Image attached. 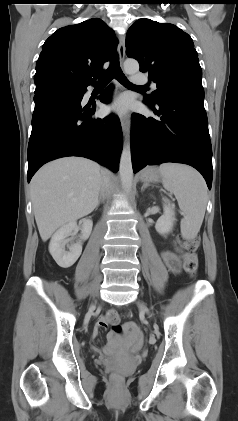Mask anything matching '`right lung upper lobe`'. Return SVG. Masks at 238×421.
Masks as SVG:
<instances>
[{
	"mask_svg": "<svg viewBox=\"0 0 238 421\" xmlns=\"http://www.w3.org/2000/svg\"><path fill=\"white\" fill-rule=\"evenodd\" d=\"M115 33L99 18L58 29L43 44L36 63L35 84L93 83L117 47ZM93 77V78H92Z\"/></svg>",
	"mask_w": 238,
	"mask_h": 421,
	"instance_id": "obj_1",
	"label": "right lung upper lobe"
}]
</instances>
